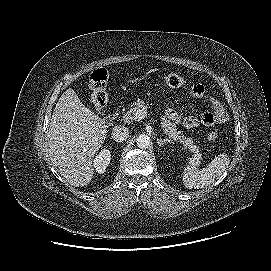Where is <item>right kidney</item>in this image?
<instances>
[{"label":"right kidney","instance_id":"right-kidney-1","mask_svg":"<svg viewBox=\"0 0 271 271\" xmlns=\"http://www.w3.org/2000/svg\"><path fill=\"white\" fill-rule=\"evenodd\" d=\"M110 160H111L110 151L108 149L101 150L93 161V166L96 172L99 174L104 173L107 166L110 163Z\"/></svg>","mask_w":271,"mask_h":271}]
</instances>
